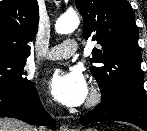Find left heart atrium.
I'll return each mask as SVG.
<instances>
[{"label":"left heart atrium","mask_w":147,"mask_h":131,"mask_svg":"<svg viewBox=\"0 0 147 131\" xmlns=\"http://www.w3.org/2000/svg\"><path fill=\"white\" fill-rule=\"evenodd\" d=\"M51 94L66 106H79L89 94L87 80L77 69L57 70L48 81Z\"/></svg>","instance_id":"left-heart-atrium-1"}]
</instances>
